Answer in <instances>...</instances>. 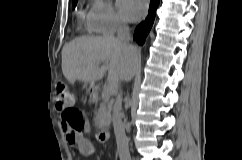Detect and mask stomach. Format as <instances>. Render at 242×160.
Listing matches in <instances>:
<instances>
[{"label": "stomach", "instance_id": "obj_1", "mask_svg": "<svg viewBox=\"0 0 242 160\" xmlns=\"http://www.w3.org/2000/svg\"><path fill=\"white\" fill-rule=\"evenodd\" d=\"M90 88H93V85L92 84L90 85Z\"/></svg>", "mask_w": 242, "mask_h": 160}]
</instances>
